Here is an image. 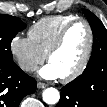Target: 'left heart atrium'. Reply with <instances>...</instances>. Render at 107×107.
<instances>
[{
	"label": "left heart atrium",
	"mask_w": 107,
	"mask_h": 107,
	"mask_svg": "<svg viewBox=\"0 0 107 107\" xmlns=\"http://www.w3.org/2000/svg\"><path fill=\"white\" fill-rule=\"evenodd\" d=\"M39 75L42 78L48 79V80H54L57 78H60V74L58 70L55 68V66L51 63L46 64L39 70Z\"/></svg>",
	"instance_id": "39dd6f15"
}]
</instances>
